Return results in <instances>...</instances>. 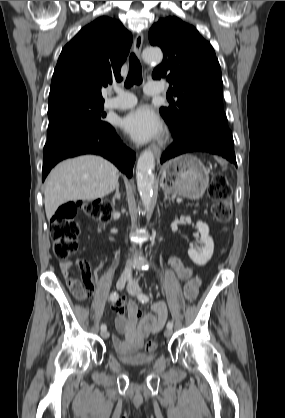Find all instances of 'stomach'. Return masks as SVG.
Wrapping results in <instances>:
<instances>
[{
  "label": "stomach",
  "mask_w": 285,
  "mask_h": 418,
  "mask_svg": "<svg viewBox=\"0 0 285 418\" xmlns=\"http://www.w3.org/2000/svg\"><path fill=\"white\" fill-rule=\"evenodd\" d=\"M209 183V172L195 156L185 154L167 162L161 170L165 192L189 199H199Z\"/></svg>",
  "instance_id": "1"
}]
</instances>
